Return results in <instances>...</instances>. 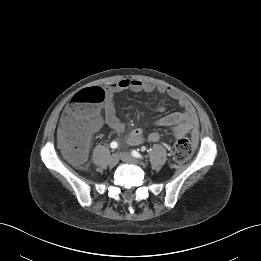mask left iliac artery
<instances>
[{"instance_id": "left-iliac-artery-1", "label": "left iliac artery", "mask_w": 261, "mask_h": 261, "mask_svg": "<svg viewBox=\"0 0 261 261\" xmlns=\"http://www.w3.org/2000/svg\"><path fill=\"white\" fill-rule=\"evenodd\" d=\"M131 153H132V156H134L136 158H139V159L143 158V156L139 152H137L136 150H133Z\"/></svg>"}]
</instances>
